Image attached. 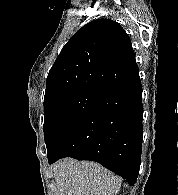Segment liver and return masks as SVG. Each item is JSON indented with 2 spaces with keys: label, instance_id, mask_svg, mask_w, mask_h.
I'll use <instances>...</instances> for the list:
<instances>
[{
  "label": "liver",
  "instance_id": "6515ba94",
  "mask_svg": "<svg viewBox=\"0 0 178 195\" xmlns=\"http://www.w3.org/2000/svg\"><path fill=\"white\" fill-rule=\"evenodd\" d=\"M55 195H116L121 178L96 162L65 158L53 166Z\"/></svg>",
  "mask_w": 178,
  "mask_h": 195
}]
</instances>
